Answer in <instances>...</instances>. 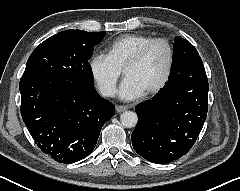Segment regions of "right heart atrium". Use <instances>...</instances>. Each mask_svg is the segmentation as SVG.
<instances>
[{
	"instance_id": "obj_1",
	"label": "right heart atrium",
	"mask_w": 240,
	"mask_h": 191,
	"mask_svg": "<svg viewBox=\"0 0 240 191\" xmlns=\"http://www.w3.org/2000/svg\"><path fill=\"white\" fill-rule=\"evenodd\" d=\"M89 71L97 88L106 97L114 95L121 75L119 69L104 53H94L89 59Z\"/></svg>"
}]
</instances>
